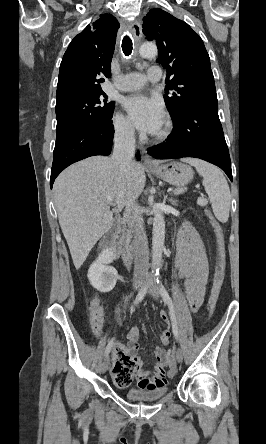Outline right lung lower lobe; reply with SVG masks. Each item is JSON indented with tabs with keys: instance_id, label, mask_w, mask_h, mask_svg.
<instances>
[{
	"instance_id": "obj_1",
	"label": "right lung lower lobe",
	"mask_w": 266,
	"mask_h": 444,
	"mask_svg": "<svg viewBox=\"0 0 266 444\" xmlns=\"http://www.w3.org/2000/svg\"><path fill=\"white\" fill-rule=\"evenodd\" d=\"M114 127L101 123L72 132L56 142L51 169L50 186L69 165L94 155H109L113 148Z\"/></svg>"
}]
</instances>
